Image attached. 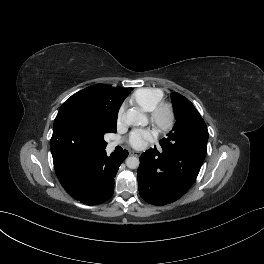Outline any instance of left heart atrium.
<instances>
[{"instance_id":"39dd6f15","label":"left heart atrium","mask_w":264,"mask_h":264,"mask_svg":"<svg viewBox=\"0 0 264 264\" xmlns=\"http://www.w3.org/2000/svg\"><path fill=\"white\" fill-rule=\"evenodd\" d=\"M154 139V133L149 129H135L129 136V144L136 148H143L147 142Z\"/></svg>"}]
</instances>
